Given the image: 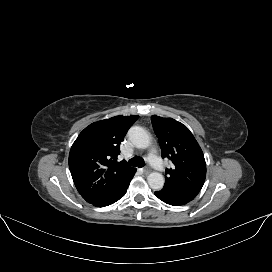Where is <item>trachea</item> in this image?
I'll return each instance as SVG.
<instances>
[{
    "label": "trachea",
    "mask_w": 272,
    "mask_h": 272,
    "mask_svg": "<svg viewBox=\"0 0 272 272\" xmlns=\"http://www.w3.org/2000/svg\"><path fill=\"white\" fill-rule=\"evenodd\" d=\"M128 165L130 166H138V167H144L145 166V162L142 158L140 157H133L128 161Z\"/></svg>",
    "instance_id": "obj_1"
}]
</instances>
